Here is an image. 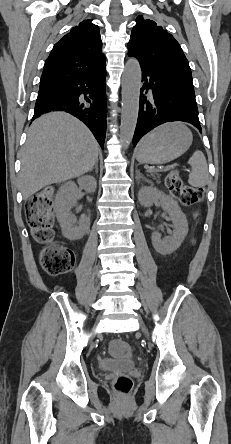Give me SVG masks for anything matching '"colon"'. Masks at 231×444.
<instances>
[{"label": "colon", "mask_w": 231, "mask_h": 444, "mask_svg": "<svg viewBox=\"0 0 231 444\" xmlns=\"http://www.w3.org/2000/svg\"><path fill=\"white\" fill-rule=\"evenodd\" d=\"M168 190L186 206L200 202L205 195L202 187H191L183 184L177 171L169 173L165 179ZM53 191L44 189L30 198L26 207L27 221L36 242L45 244L40 255V262L44 270L51 276H59L69 272L74 266L73 252L63 246L50 244L54 235ZM111 354L127 357L131 354L130 346L119 339H115L109 346ZM133 382L127 374H119L114 379V389L121 395L127 394Z\"/></svg>", "instance_id": "1"}]
</instances>
